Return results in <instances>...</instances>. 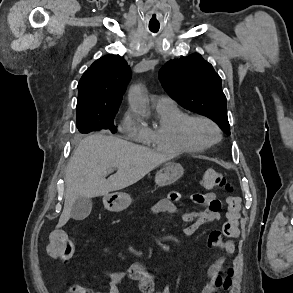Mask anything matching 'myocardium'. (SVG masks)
<instances>
[{
	"label": "myocardium",
	"mask_w": 293,
	"mask_h": 293,
	"mask_svg": "<svg viewBox=\"0 0 293 293\" xmlns=\"http://www.w3.org/2000/svg\"><path fill=\"white\" fill-rule=\"evenodd\" d=\"M197 122L208 124L214 130L216 137L209 141L196 139L193 134V126ZM182 131L186 141L199 150H204L221 139V130L218 124L213 119L200 114L188 116L183 124Z\"/></svg>",
	"instance_id": "f54148a6"
}]
</instances>
